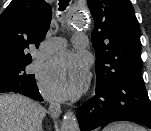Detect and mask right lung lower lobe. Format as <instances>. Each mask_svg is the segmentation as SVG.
I'll return each mask as SVG.
<instances>
[{
    "mask_svg": "<svg viewBox=\"0 0 151 131\" xmlns=\"http://www.w3.org/2000/svg\"><path fill=\"white\" fill-rule=\"evenodd\" d=\"M5 79H0V93L3 92H19L25 96H28L34 100L42 101L43 98L41 97L36 80L33 77H27L23 80L18 82H5Z\"/></svg>",
    "mask_w": 151,
    "mask_h": 131,
    "instance_id": "98d812e1",
    "label": "right lung lower lobe"
}]
</instances>
